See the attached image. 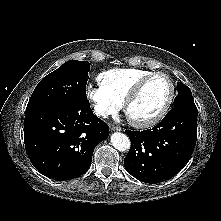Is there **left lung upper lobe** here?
<instances>
[{
  "mask_svg": "<svg viewBox=\"0 0 221 221\" xmlns=\"http://www.w3.org/2000/svg\"><path fill=\"white\" fill-rule=\"evenodd\" d=\"M178 95L174 100V107L176 106H191L195 105L192 93L189 87L183 83L178 82L177 84Z\"/></svg>",
  "mask_w": 221,
  "mask_h": 221,
  "instance_id": "left-lung-upper-lobe-1",
  "label": "left lung upper lobe"
}]
</instances>
